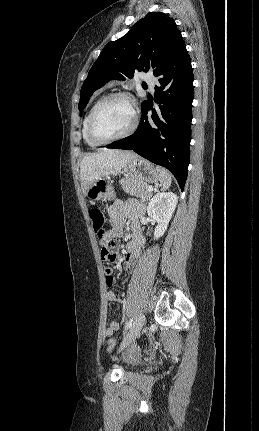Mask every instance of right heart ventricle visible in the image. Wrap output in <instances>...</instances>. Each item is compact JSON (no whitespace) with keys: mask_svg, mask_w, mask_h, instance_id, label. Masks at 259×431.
<instances>
[{"mask_svg":"<svg viewBox=\"0 0 259 431\" xmlns=\"http://www.w3.org/2000/svg\"><path fill=\"white\" fill-rule=\"evenodd\" d=\"M100 100L95 101L92 106L90 107V109L88 110V112L86 113L84 119H83V123H82V135H83V139L86 142L87 145H89L90 147H97L99 146V144L94 143L88 136V120L90 117V114L92 112V110L94 109V107L96 106V104L99 102Z\"/></svg>","mask_w":259,"mask_h":431,"instance_id":"e07e8e85","label":"right heart ventricle"}]
</instances>
